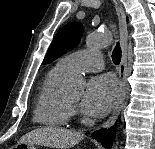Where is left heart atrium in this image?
<instances>
[{"mask_svg": "<svg viewBox=\"0 0 155 149\" xmlns=\"http://www.w3.org/2000/svg\"><path fill=\"white\" fill-rule=\"evenodd\" d=\"M119 94L116 79L108 74L92 78L82 100L81 106L85 113L101 117L106 115L114 106Z\"/></svg>", "mask_w": 155, "mask_h": 149, "instance_id": "1", "label": "left heart atrium"}]
</instances>
